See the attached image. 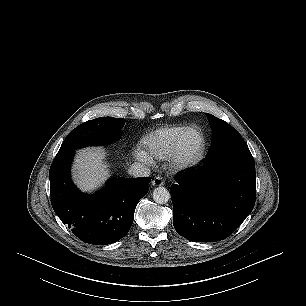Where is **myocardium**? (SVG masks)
<instances>
[{
    "label": "myocardium",
    "instance_id": "1",
    "mask_svg": "<svg viewBox=\"0 0 306 306\" xmlns=\"http://www.w3.org/2000/svg\"><path fill=\"white\" fill-rule=\"evenodd\" d=\"M196 131L200 135L199 146L195 150H188L185 147L187 135ZM207 146L206 135L203 130L195 125L188 126L179 136L174 151L171 154L170 167L176 173H185L194 169L202 160Z\"/></svg>",
    "mask_w": 306,
    "mask_h": 306
}]
</instances>
